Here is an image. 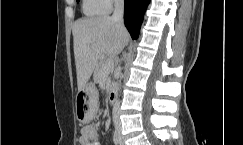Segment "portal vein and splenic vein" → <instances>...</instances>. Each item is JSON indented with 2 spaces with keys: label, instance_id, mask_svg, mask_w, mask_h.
I'll return each mask as SVG.
<instances>
[{
  "label": "portal vein and splenic vein",
  "instance_id": "obj_1",
  "mask_svg": "<svg viewBox=\"0 0 243 145\" xmlns=\"http://www.w3.org/2000/svg\"><path fill=\"white\" fill-rule=\"evenodd\" d=\"M114 66V61L112 58H108L106 60V64L104 66V72H107L108 70L112 69Z\"/></svg>",
  "mask_w": 243,
  "mask_h": 145
}]
</instances>
